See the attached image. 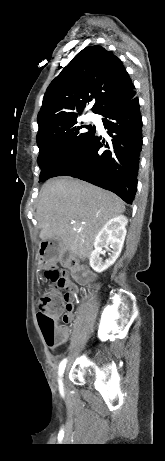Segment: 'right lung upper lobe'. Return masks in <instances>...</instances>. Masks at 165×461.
<instances>
[{
	"instance_id": "right-lung-upper-lobe-1",
	"label": "right lung upper lobe",
	"mask_w": 165,
	"mask_h": 461,
	"mask_svg": "<svg viewBox=\"0 0 165 461\" xmlns=\"http://www.w3.org/2000/svg\"><path fill=\"white\" fill-rule=\"evenodd\" d=\"M134 89L122 61L112 51L98 45L86 47L47 88L37 117V138L77 118L93 100L92 111L106 113L132 99Z\"/></svg>"
}]
</instances>
